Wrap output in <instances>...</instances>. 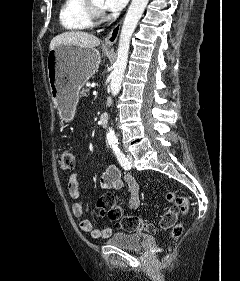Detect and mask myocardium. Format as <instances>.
I'll return each mask as SVG.
<instances>
[{"mask_svg":"<svg viewBox=\"0 0 240 281\" xmlns=\"http://www.w3.org/2000/svg\"><path fill=\"white\" fill-rule=\"evenodd\" d=\"M85 12L93 24H98L105 20L106 15L103 6L96 4L95 0H84Z\"/></svg>","mask_w":240,"mask_h":281,"instance_id":"myocardium-1","label":"myocardium"}]
</instances>
